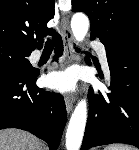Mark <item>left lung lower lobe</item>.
<instances>
[{"instance_id": "0a47b994", "label": "left lung lower lobe", "mask_w": 139, "mask_h": 150, "mask_svg": "<svg viewBox=\"0 0 139 150\" xmlns=\"http://www.w3.org/2000/svg\"><path fill=\"white\" fill-rule=\"evenodd\" d=\"M106 54L111 92L104 95L90 89V110L81 150L112 143L139 148V37Z\"/></svg>"}]
</instances>
